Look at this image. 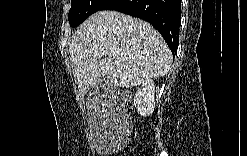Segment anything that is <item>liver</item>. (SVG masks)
Returning <instances> with one entry per match:
<instances>
[{"label": "liver", "mask_w": 247, "mask_h": 156, "mask_svg": "<svg viewBox=\"0 0 247 156\" xmlns=\"http://www.w3.org/2000/svg\"><path fill=\"white\" fill-rule=\"evenodd\" d=\"M73 75L82 93L101 76L114 87H133L168 73L172 56L149 23L106 10L84 21L69 42Z\"/></svg>", "instance_id": "6515ba94"}]
</instances>
